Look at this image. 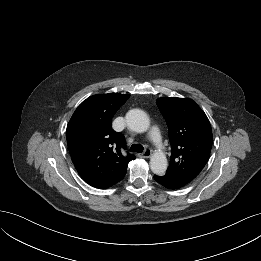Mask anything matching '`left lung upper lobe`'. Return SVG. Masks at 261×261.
Listing matches in <instances>:
<instances>
[{
	"mask_svg": "<svg viewBox=\"0 0 261 261\" xmlns=\"http://www.w3.org/2000/svg\"><path fill=\"white\" fill-rule=\"evenodd\" d=\"M171 143L166 175L190 183L207 163L213 143L210 122L203 110L189 98L157 99Z\"/></svg>",
	"mask_w": 261,
	"mask_h": 261,
	"instance_id": "5c2ea615",
	"label": "left lung upper lobe"
}]
</instances>
